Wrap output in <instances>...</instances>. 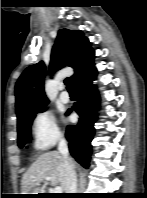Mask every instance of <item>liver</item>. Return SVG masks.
<instances>
[{
    "label": "liver",
    "mask_w": 147,
    "mask_h": 198,
    "mask_svg": "<svg viewBox=\"0 0 147 198\" xmlns=\"http://www.w3.org/2000/svg\"><path fill=\"white\" fill-rule=\"evenodd\" d=\"M46 177H51L52 186L59 184L65 191V162L58 151H49L41 154L23 174L21 181L22 194H39L41 189L39 187L33 188L38 186Z\"/></svg>",
    "instance_id": "1"
}]
</instances>
